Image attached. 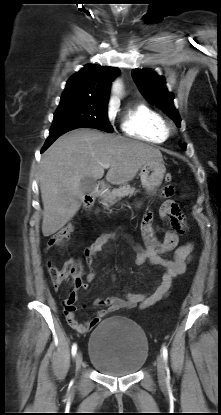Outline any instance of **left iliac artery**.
I'll use <instances>...</instances> for the list:
<instances>
[{
    "instance_id": "1",
    "label": "left iliac artery",
    "mask_w": 221,
    "mask_h": 415,
    "mask_svg": "<svg viewBox=\"0 0 221 415\" xmlns=\"http://www.w3.org/2000/svg\"><path fill=\"white\" fill-rule=\"evenodd\" d=\"M162 354H163V358L165 360V362H167V358H168V351L166 347L162 348ZM166 370L168 371V368L166 367Z\"/></svg>"
}]
</instances>
